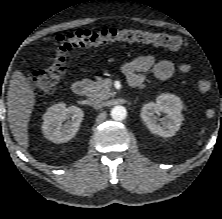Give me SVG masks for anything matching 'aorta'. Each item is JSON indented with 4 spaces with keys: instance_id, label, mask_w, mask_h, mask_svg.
<instances>
[{
    "instance_id": "obj_1",
    "label": "aorta",
    "mask_w": 222,
    "mask_h": 219,
    "mask_svg": "<svg viewBox=\"0 0 222 219\" xmlns=\"http://www.w3.org/2000/svg\"><path fill=\"white\" fill-rule=\"evenodd\" d=\"M127 111L124 106L117 105L111 109V117L116 121H122L126 118Z\"/></svg>"
}]
</instances>
